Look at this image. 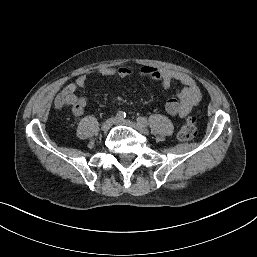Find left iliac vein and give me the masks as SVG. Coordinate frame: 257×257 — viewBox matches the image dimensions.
<instances>
[{"label":"left iliac vein","instance_id":"4c4485c4","mask_svg":"<svg viewBox=\"0 0 257 257\" xmlns=\"http://www.w3.org/2000/svg\"><path fill=\"white\" fill-rule=\"evenodd\" d=\"M115 124L117 125H124V126H128L131 127L143 134H148V129L143 127L142 125H140L139 123H135L133 121L130 120H126V119H116Z\"/></svg>","mask_w":257,"mask_h":257}]
</instances>
